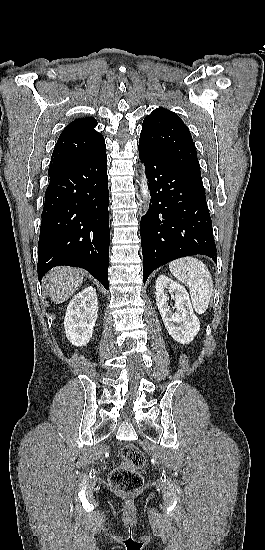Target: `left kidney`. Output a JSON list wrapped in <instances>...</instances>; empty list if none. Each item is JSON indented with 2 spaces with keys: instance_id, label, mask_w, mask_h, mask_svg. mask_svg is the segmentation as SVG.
I'll return each mask as SVG.
<instances>
[{
  "instance_id": "obj_1",
  "label": "left kidney",
  "mask_w": 265,
  "mask_h": 550,
  "mask_svg": "<svg viewBox=\"0 0 265 550\" xmlns=\"http://www.w3.org/2000/svg\"><path fill=\"white\" fill-rule=\"evenodd\" d=\"M168 290L175 300V312L168 305ZM156 304L169 335L181 344H188L200 330V322L194 314L186 289L179 283L160 275L156 280Z\"/></svg>"
}]
</instances>
